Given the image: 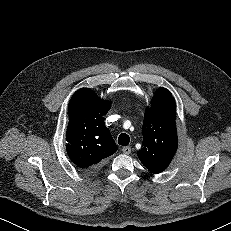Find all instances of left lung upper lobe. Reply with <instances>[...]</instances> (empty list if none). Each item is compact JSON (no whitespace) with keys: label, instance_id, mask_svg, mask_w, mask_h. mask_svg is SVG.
I'll list each match as a JSON object with an SVG mask.
<instances>
[{"label":"left lung upper lobe","instance_id":"obj_1","mask_svg":"<svg viewBox=\"0 0 231 231\" xmlns=\"http://www.w3.org/2000/svg\"><path fill=\"white\" fill-rule=\"evenodd\" d=\"M176 103L165 88L156 90L143 121V147L137 151L142 164L154 174L164 171L172 161L178 146Z\"/></svg>","mask_w":231,"mask_h":231}]
</instances>
